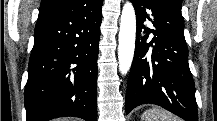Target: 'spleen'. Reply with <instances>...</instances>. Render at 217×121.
I'll return each instance as SVG.
<instances>
[{
  "instance_id": "obj_1",
  "label": "spleen",
  "mask_w": 217,
  "mask_h": 121,
  "mask_svg": "<svg viewBox=\"0 0 217 121\" xmlns=\"http://www.w3.org/2000/svg\"><path fill=\"white\" fill-rule=\"evenodd\" d=\"M141 118L142 121H177L172 114L160 108L146 110Z\"/></svg>"
}]
</instances>
